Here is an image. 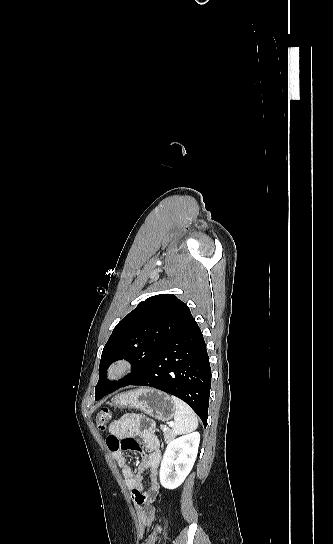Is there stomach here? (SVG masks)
Here are the masks:
<instances>
[{
	"mask_svg": "<svg viewBox=\"0 0 333 544\" xmlns=\"http://www.w3.org/2000/svg\"><path fill=\"white\" fill-rule=\"evenodd\" d=\"M113 405L140 410L160 421L171 420L176 410L171 396L152 388H140L121 393L113 398Z\"/></svg>",
	"mask_w": 333,
	"mask_h": 544,
	"instance_id": "obj_1",
	"label": "stomach"
}]
</instances>
